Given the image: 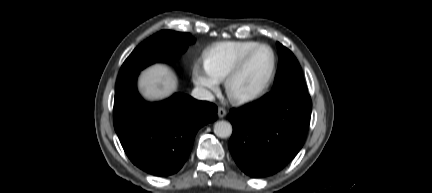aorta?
Segmentation results:
<instances>
[{"label":"aorta","instance_id":"aorta-1","mask_svg":"<svg viewBox=\"0 0 432 193\" xmlns=\"http://www.w3.org/2000/svg\"><path fill=\"white\" fill-rule=\"evenodd\" d=\"M233 131L232 125L227 121H217L214 124V133L220 138H227L231 136Z\"/></svg>","mask_w":432,"mask_h":193}]
</instances>
